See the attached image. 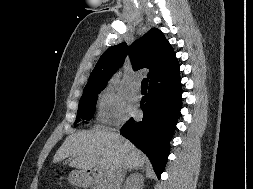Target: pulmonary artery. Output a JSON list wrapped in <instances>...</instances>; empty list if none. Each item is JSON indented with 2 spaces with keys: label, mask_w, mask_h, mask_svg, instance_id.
<instances>
[{
  "label": "pulmonary artery",
  "mask_w": 253,
  "mask_h": 189,
  "mask_svg": "<svg viewBox=\"0 0 253 189\" xmlns=\"http://www.w3.org/2000/svg\"><path fill=\"white\" fill-rule=\"evenodd\" d=\"M141 89V83L139 81L134 83V91L139 92Z\"/></svg>",
  "instance_id": "e3ab8cb5"
}]
</instances>
